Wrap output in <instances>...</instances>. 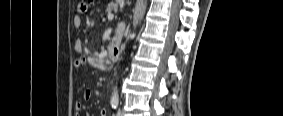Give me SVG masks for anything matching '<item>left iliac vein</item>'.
<instances>
[{"label": "left iliac vein", "mask_w": 283, "mask_h": 116, "mask_svg": "<svg viewBox=\"0 0 283 116\" xmlns=\"http://www.w3.org/2000/svg\"><path fill=\"white\" fill-rule=\"evenodd\" d=\"M117 116H122V111L121 110H118Z\"/></svg>", "instance_id": "obj_1"}]
</instances>
